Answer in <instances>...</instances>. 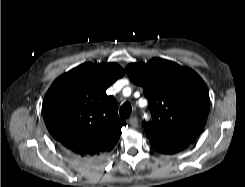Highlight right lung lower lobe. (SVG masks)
Listing matches in <instances>:
<instances>
[{
	"label": "right lung lower lobe",
	"instance_id": "right-lung-lower-lobe-1",
	"mask_svg": "<svg viewBox=\"0 0 245 187\" xmlns=\"http://www.w3.org/2000/svg\"><path fill=\"white\" fill-rule=\"evenodd\" d=\"M62 148H63L67 153H69V154L75 156L77 159H80V160H89L88 158H82V157H79V156L74 155L73 153H71V152H69L67 149H65L64 147H62Z\"/></svg>",
	"mask_w": 245,
	"mask_h": 187
}]
</instances>
